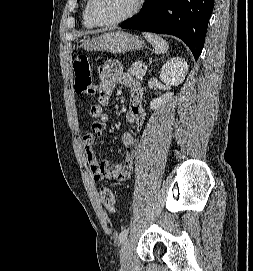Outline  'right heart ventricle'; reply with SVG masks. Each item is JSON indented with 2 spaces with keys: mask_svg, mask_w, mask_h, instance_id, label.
<instances>
[{
  "mask_svg": "<svg viewBox=\"0 0 253 271\" xmlns=\"http://www.w3.org/2000/svg\"><path fill=\"white\" fill-rule=\"evenodd\" d=\"M82 19L83 24L86 28L92 29L96 27L95 23L92 21L89 14V0H85V4L82 11Z\"/></svg>",
  "mask_w": 253,
  "mask_h": 271,
  "instance_id": "obj_1",
  "label": "right heart ventricle"
}]
</instances>
